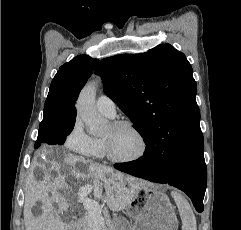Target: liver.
I'll list each match as a JSON object with an SVG mask.
<instances>
[{
  "label": "liver",
  "instance_id": "liver-1",
  "mask_svg": "<svg viewBox=\"0 0 241 230\" xmlns=\"http://www.w3.org/2000/svg\"><path fill=\"white\" fill-rule=\"evenodd\" d=\"M46 153V150H43L37 154L35 160L44 157ZM34 167L41 168L43 175L40 179L37 178L39 173L36 176L31 175L26 183L23 209L26 230H67V225L56 215L53 207V203L59 204L58 211L69 207L65 196L57 192L58 189L67 192L70 197L74 187H78L79 192L90 187L94 196L100 197L104 188L107 206L110 210L118 212L131 203L141 183L110 167L71 153H64L58 159H45L43 163L35 161ZM68 179H74L75 182L70 185ZM82 182H85L84 186H81ZM38 201L42 203V213L34 217L32 208Z\"/></svg>",
  "mask_w": 241,
  "mask_h": 230
}]
</instances>
